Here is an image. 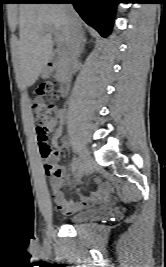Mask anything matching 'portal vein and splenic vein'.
Wrapping results in <instances>:
<instances>
[{
	"label": "portal vein and splenic vein",
	"mask_w": 166,
	"mask_h": 267,
	"mask_svg": "<svg viewBox=\"0 0 166 267\" xmlns=\"http://www.w3.org/2000/svg\"><path fill=\"white\" fill-rule=\"evenodd\" d=\"M45 32H48L49 34H54L56 39H57V43L58 45H62L63 43V40L62 38L60 37V34L58 31H56L54 28L52 27H47L46 29H44Z\"/></svg>",
	"instance_id": "portal-vein-and-splenic-vein-1"
}]
</instances>
